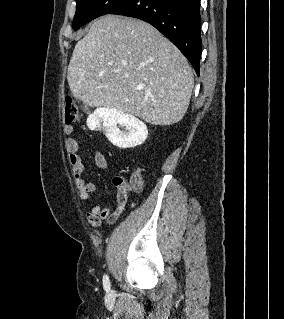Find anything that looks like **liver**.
<instances>
[{
  "mask_svg": "<svg viewBox=\"0 0 284 319\" xmlns=\"http://www.w3.org/2000/svg\"><path fill=\"white\" fill-rule=\"evenodd\" d=\"M72 95L154 125L185 115L194 79L186 57L150 24L106 15L79 40L68 66Z\"/></svg>",
  "mask_w": 284,
  "mask_h": 319,
  "instance_id": "obj_1",
  "label": "liver"
}]
</instances>
